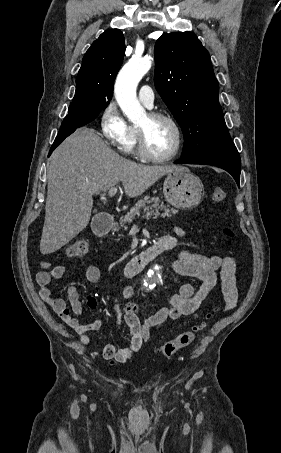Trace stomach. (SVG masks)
I'll return each mask as SVG.
<instances>
[{"label":"stomach","mask_w":281,"mask_h":453,"mask_svg":"<svg viewBox=\"0 0 281 453\" xmlns=\"http://www.w3.org/2000/svg\"><path fill=\"white\" fill-rule=\"evenodd\" d=\"M163 192L169 204L187 210L199 204L204 194V186L199 176L187 168V170L168 172L164 180Z\"/></svg>","instance_id":"0dacf381"}]
</instances>
